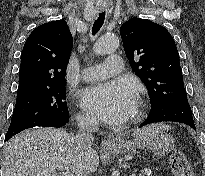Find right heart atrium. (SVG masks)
Here are the masks:
<instances>
[{"label": "right heart atrium", "mask_w": 205, "mask_h": 176, "mask_svg": "<svg viewBox=\"0 0 205 176\" xmlns=\"http://www.w3.org/2000/svg\"><path fill=\"white\" fill-rule=\"evenodd\" d=\"M78 119L82 125L87 126V127H91L95 124L94 118L87 113H80L78 115Z\"/></svg>", "instance_id": "1"}]
</instances>
